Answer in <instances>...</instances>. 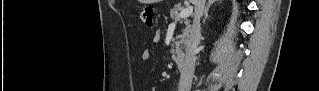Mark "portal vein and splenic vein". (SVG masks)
<instances>
[{
    "label": "portal vein and splenic vein",
    "instance_id": "portal-vein-and-splenic-vein-1",
    "mask_svg": "<svg viewBox=\"0 0 319 91\" xmlns=\"http://www.w3.org/2000/svg\"><path fill=\"white\" fill-rule=\"evenodd\" d=\"M192 13H193V7L189 6L180 11L178 18H183V19L188 18L189 16L192 15Z\"/></svg>",
    "mask_w": 319,
    "mask_h": 91
}]
</instances>
